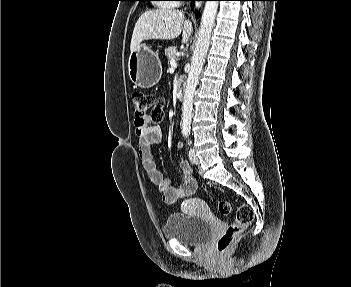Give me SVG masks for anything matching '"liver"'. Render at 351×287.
Segmentation results:
<instances>
[{"instance_id":"liver-1","label":"liver","mask_w":351,"mask_h":287,"mask_svg":"<svg viewBox=\"0 0 351 287\" xmlns=\"http://www.w3.org/2000/svg\"><path fill=\"white\" fill-rule=\"evenodd\" d=\"M193 31L192 23L183 12L175 9H157L143 13L135 24L131 52L144 40H172L182 33V42L187 43Z\"/></svg>"}]
</instances>
